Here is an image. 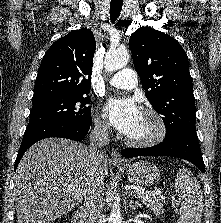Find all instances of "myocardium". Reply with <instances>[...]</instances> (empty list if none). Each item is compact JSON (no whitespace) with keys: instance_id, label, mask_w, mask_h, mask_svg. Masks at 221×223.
<instances>
[{"instance_id":"obj_1","label":"myocardium","mask_w":221,"mask_h":223,"mask_svg":"<svg viewBox=\"0 0 221 223\" xmlns=\"http://www.w3.org/2000/svg\"><path fill=\"white\" fill-rule=\"evenodd\" d=\"M143 115L153 118L156 124V131L149 137L143 139H132L126 137L125 142L134 147H152L159 144L166 136L167 125L163 116L152 108H146L142 112Z\"/></svg>"}]
</instances>
